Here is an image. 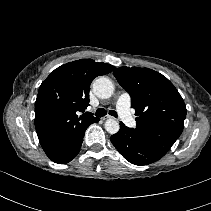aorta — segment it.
<instances>
[{
    "mask_svg": "<svg viewBox=\"0 0 211 211\" xmlns=\"http://www.w3.org/2000/svg\"><path fill=\"white\" fill-rule=\"evenodd\" d=\"M93 92L98 98L106 99L112 96L114 85L110 79L100 77L93 82ZM119 128V123L115 119H108L105 122V129L110 134H116Z\"/></svg>",
    "mask_w": 211,
    "mask_h": 211,
    "instance_id": "aorta-1",
    "label": "aorta"
}]
</instances>
